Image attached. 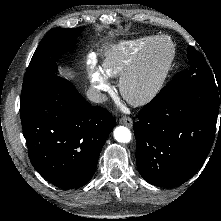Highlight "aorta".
Here are the masks:
<instances>
[{"label": "aorta", "mask_w": 221, "mask_h": 221, "mask_svg": "<svg viewBox=\"0 0 221 221\" xmlns=\"http://www.w3.org/2000/svg\"><path fill=\"white\" fill-rule=\"evenodd\" d=\"M114 138L120 143H129L132 135L131 131L124 126H118L114 130Z\"/></svg>", "instance_id": "762f6f07"}]
</instances>
